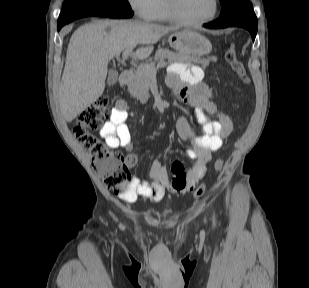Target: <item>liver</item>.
Returning <instances> with one entry per match:
<instances>
[{"label":"liver","mask_w":309,"mask_h":288,"mask_svg":"<svg viewBox=\"0 0 309 288\" xmlns=\"http://www.w3.org/2000/svg\"><path fill=\"white\" fill-rule=\"evenodd\" d=\"M175 30L176 27L125 20L94 21L80 26L71 36L58 92L65 120L73 121L103 94L111 59L138 44L146 46L138 48L135 56L147 58L153 45Z\"/></svg>","instance_id":"6515ba94"}]
</instances>
